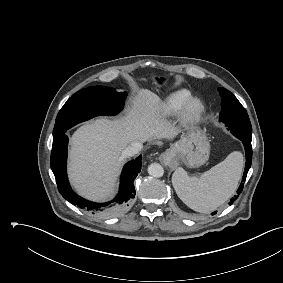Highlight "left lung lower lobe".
<instances>
[{
    "label": "left lung lower lobe",
    "instance_id": "1",
    "mask_svg": "<svg viewBox=\"0 0 283 283\" xmlns=\"http://www.w3.org/2000/svg\"><path fill=\"white\" fill-rule=\"evenodd\" d=\"M251 134L252 132H246L243 135L239 137V139L243 142L245 152H246V164H245V170L242 178V182H245L247 173L251 167V162H252V146H251ZM243 190V183L240 184L238 190H237V195L234 196V198L231 199L230 205L232 202L238 198L239 194ZM216 214V212H213L212 215Z\"/></svg>",
    "mask_w": 283,
    "mask_h": 283
}]
</instances>
